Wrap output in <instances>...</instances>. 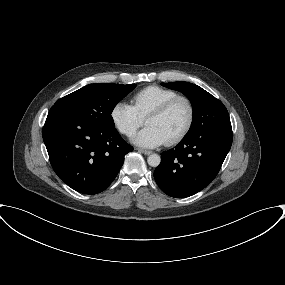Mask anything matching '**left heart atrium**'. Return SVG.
<instances>
[{
  "label": "left heart atrium",
  "instance_id": "1",
  "mask_svg": "<svg viewBox=\"0 0 285 285\" xmlns=\"http://www.w3.org/2000/svg\"><path fill=\"white\" fill-rule=\"evenodd\" d=\"M131 141L141 147L155 148L165 143L163 135L153 126H146L133 135Z\"/></svg>",
  "mask_w": 285,
  "mask_h": 285
}]
</instances>
